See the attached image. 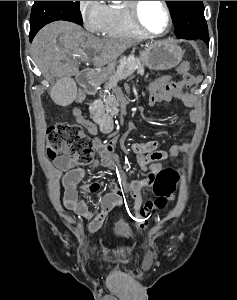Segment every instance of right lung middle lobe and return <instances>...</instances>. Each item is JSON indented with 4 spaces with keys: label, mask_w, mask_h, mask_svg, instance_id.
I'll use <instances>...</instances> for the list:
<instances>
[{
    "label": "right lung middle lobe",
    "mask_w": 237,
    "mask_h": 300,
    "mask_svg": "<svg viewBox=\"0 0 237 300\" xmlns=\"http://www.w3.org/2000/svg\"><path fill=\"white\" fill-rule=\"evenodd\" d=\"M66 20L82 25L79 1H35L30 17V31L37 33L44 25Z\"/></svg>",
    "instance_id": "right-lung-middle-lobe-1"
}]
</instances>
